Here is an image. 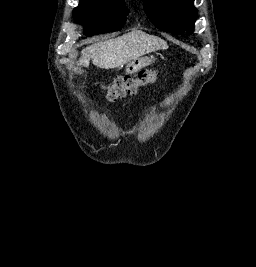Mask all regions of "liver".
<instances>
[{"instance_id":"obj_1","label":"liver","mask_w":256,"mask_h":267,"mask_svg":"<svg viewBox=\"0 0 256 267\" xmlns=\"http://www.w3.org/2000/svg\"><path fill=\"white\" fill-rule=\"evenodd\" d=\"M167 48L168 44L165 40L157 36H149L141 30H133L119 38L104 40V42H97V44H91L89 48H84L78 66L88 68L92 60L97 68L111 70V68H120L124 64L135 62L140 56H145L149 52L167 50Z\"/></svg>"}]
</instances>
